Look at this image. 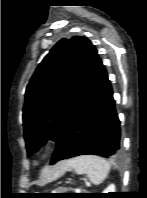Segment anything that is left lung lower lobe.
Instances as JSON below:
<instances>
[{
	"mask_svg": "<svg viewBox=\"0 0 147 198\" xmlns=\"http://www.w3.org/2000/svg\"><path fill=\"white\" fill-rule=\"evenodd\" d=\"M121 150L120 121L107 72L98 59L92 84L57 143L50 164L85 154L106 158Z\"/></svg>",
	"mask_w": 147,
	"mask_h": 198,
	"instance_id": "1",
	"label": "left lung lower lobe"
}]
</instances>
